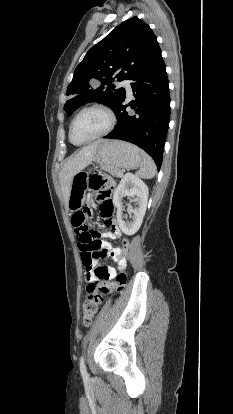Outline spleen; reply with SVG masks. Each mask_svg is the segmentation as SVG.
Here are the masks:
<instances>
[{
	"mask_svg": "<svg viewBox=\"0 0 233 414\" xmlns=\"http://www.w3.org/2000/svg\"><path fill=\"white\" fill-rule=\"evenodd\" d=\"M143 163L137 172V175L144 179H151L156 174V165L153 159L144 151H142Z\"/></svg>",
	"mask_w": 233,
	"mask_h": 414,
	"instance_id": "3e777b00",
	"label": "spleen"
}]
</instances>
